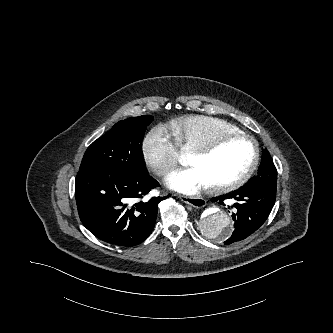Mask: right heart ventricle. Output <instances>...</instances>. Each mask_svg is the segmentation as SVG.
Masks as SVG:
<instances>
[{
    "label": "right heart ventricle",
    "mask_w": 333,
    "mask_h": 333,
    "mask_svg": "<svg viewBox=\"0 0 333 333\" xmlns=\"http://www.w3.org/2000/svg\"><path fill=\"white\" fill-rule=\"evenodd\" d=\"M168 128L176 146L186 151H191L219 134L241 132L239 128L222 119L205 115L174 119Z\"/></svg>",
    "instance_id": "right-heart-ventricle-1"
}]
</instances>
